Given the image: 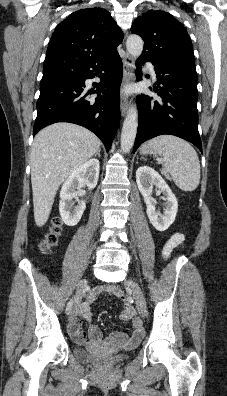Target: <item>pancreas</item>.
Here are the masks:
<instances>
[{"label": "pancreas", "instance_id": "pancreas-1", "mask_svg": "<svg viewBox=\"0 0 227 396\" xmlns=\"http://www.w3.org/2000/svg\"><path fill=\"white\" fill-rule=\"evenodd\" d=\"M166 178H167V179H170V177H169L168 175H166Z\"/></svg>", "mask_w": 227, "mask_h": 396}]
</instances>
